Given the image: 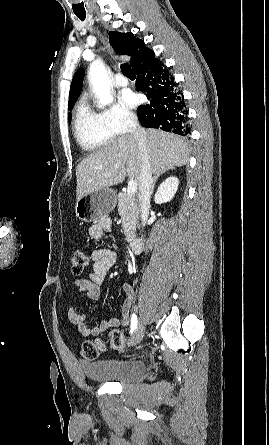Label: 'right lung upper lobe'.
Instances as JSON below:
<instances>
[{"label":"right lung upper lobe","instance_id":"1","mask_svg":"<svg viewBox=\"0 0 269 445\" xmlns=\"http://www.w3.org/2000/svg\"><path fill=\"white\" fill-rule=\"evenodd\" d=\"M110 43L120 55L131 57V67L136 70L140 65L155 57L153 50L145 47L144 41L129 33L109 32ZM83 69H79L73 77L68 105L74 104L83 84Z\"/></svg>","mask_w":269,"mask_h":445}]
</instances>
